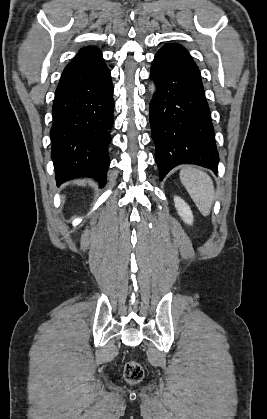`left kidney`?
<instances>
[{
  "mask_svg": "<svg viewBox=\"0 0 267 419\" xmlns=\"http://www.w3.org/2000/svg\"><path fill=\"white\" fill-rule=\"evenodd\" d=\"M174 204H175V208L178 211V214L182 218V220L185 223H187L188 225H192L193 224V214H192V211H191L190 207L188 206V204L178 196L174 197Z\"/></svg>",
  "mask_w": 267,
  "mask_h": 419,
  "instance_id": "1",
  "label": "left kidney"
}]
</instances>
